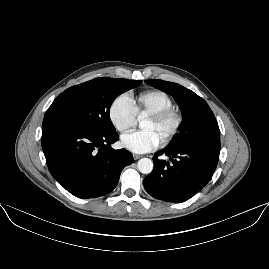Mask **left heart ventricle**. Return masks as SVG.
Listing matches in <instances>:
<instances>
[{
	"mask_svg": "<svg viewBox=\"0 0 269 269\" xmlns=\"http://www.w3.org/2000/svg\"><path fill=\"white\" fill-rule=\"evenodd\" d=\"M143 129L145 131H153L161 141V144L166 141L173 129V120H160L155 117H148Z\"/></svg>",
	"mask_w": 269,
	"mask_h": 269,
	"instance_id": "b2bd125f",
	"label": "left heart ventricle"
}]
</instances>
